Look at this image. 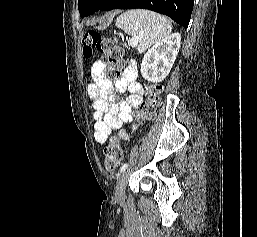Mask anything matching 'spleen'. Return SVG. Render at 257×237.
<instances>
[{
	"instance_id": "1",
	"label": "spleen",
	"mask_w": 257,
	"mask_h": 237,
	"mask_svg": "<svg viewBox=\"0 0 257 237\" xmlns=\"http://www.w3.org/2000/svg\"><path fill=\"white\" fill-rule=\"evenodd\" d=\"M116 26L131 36H139L138 53L165 39L172 31L170 21L151 11L130 10L116 19Z\"/></svg>"
}]
</instances>
